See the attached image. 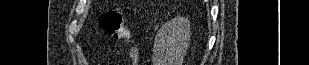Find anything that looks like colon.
Here are the masks:
<instances>
[{"label": "colon", "mask_w": 309, "mask_h": 65, "mask_svg": "<svg viewBox=\"0 0 309 65\" xmlns=\"http://www.w3.org/2000/svg\"><path fill=\"white\" fill-rule=\"evenodd\" d=\"M99 23L101 28L115 39L127 36L123 13L119 9H111L103 13L100 16Z\"/></svg>", "instance_id": "colon-1"}]
</instances>
